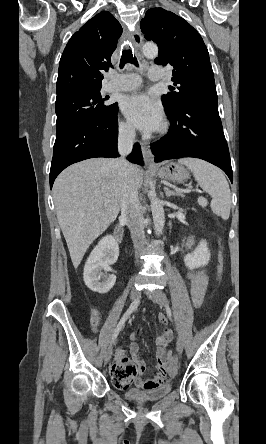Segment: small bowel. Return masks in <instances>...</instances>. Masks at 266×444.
I'll return each mask as SVG.
<instances>
[{"instance_id": "obj_1", "label": "small bowel", "mask_w": 266, "mask_h": 444, "mask_svg": "<svg viewBox=\"0 0 266 444\" xmlns=\"http://www.w3.org/2000/svg\"><path fill=\"white\" fill-rule=\"evenodd\" d=\"M193 239H188L185 243L186 249L193 247ZM190 292L193 304L199 305L207 287V277L202 271L188 273ZM159 321L162 325L167 324L165 315H159ZM101 323V314L99 310L93 309L91 316V325L96 332ZM140 332L132 335L133 342L130 345V352L132 357L129 358L123 353L119 352L116 355L115 362L112 364L110 372L112 382L118 389H127L132 384L142 389H152L161 385L167 384V372L174 374L167 363L166 348L172 339V332L165 328L162 334L157 339L156 358H157V373L151 379H143L142 375L145 372L144 361L137 355L138 344L136 340L139 338Z\"/></svg>"}]
</instances>
